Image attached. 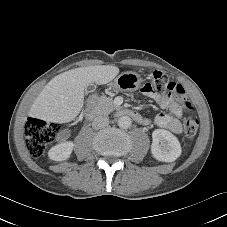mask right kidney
<instances>
[{"instance_id": "1", "label": "right kidney", "mask_w": 227, "mask_h": 227, "mask_svg": "<svg viewBox=\"0 0 227 227\" xmlns=\"http://www.w3.org/2000/svg\"><path fill=\"white\" fill-rule=\"evenodd\" d=\"M73 147L72 141L59 143L49 150L48 156L54 161H64L70 157Z\"/></svg>"}]
</instances>
